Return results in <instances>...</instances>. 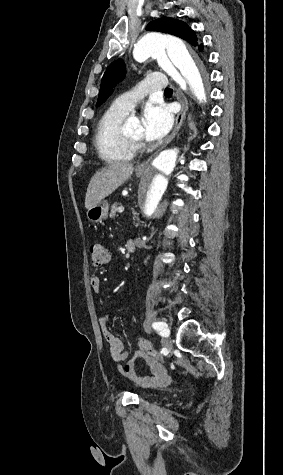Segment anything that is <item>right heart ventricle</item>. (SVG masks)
I'll list each match as a JSON object with an SVG mask.
<instances>
[{"label": "right heart ventricle", "mask_w": 283, "mask_h": 475, "mask_svg": "<svg viewBox=\"0 0 283 475\" xmlns=\"http://www.w3.org/2000/svg\"><path fill=\"white\" fill-rule=\"evenodd\" d=\"M128 111L122 110L111 104L100 116L97 121L94 142L101 157L106 162L129 161L134 158L129 154L118 155L114 152L113 146L120 139L122 123L126 118Z\"/></svg>", "instance_id": "1"}]
</instances>
